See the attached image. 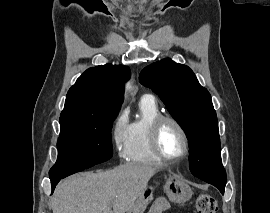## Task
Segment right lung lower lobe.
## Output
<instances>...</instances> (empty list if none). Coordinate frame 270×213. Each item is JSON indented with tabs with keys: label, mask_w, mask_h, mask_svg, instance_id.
I'll return each instance as SVG.
<instances>
[{
	"label": "right lung lower lobe",
	"mask_w": 270,
	"mask_h": 213,
	"mask_svg": "<svg viewBox=\"0 0 270 213\" xmlns=\"http://www.w3.org/2000/svg\"><path fill=\"white\" fill-rule=\"evenodd\" d=\"M80 171H82V170H80ZM76 172H79V171H76ZM76 172H72V173H69V174L61 175V176L50 177L51 185H52V192H53V190L55 189L57 183H58L61 179L65 178V177H67V176H69V175H71V174H74V173H76Z\"/></svg>",
	"instance_id": "1"
}]
</instances>
